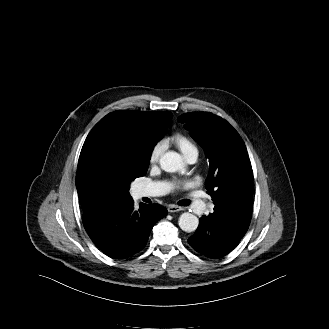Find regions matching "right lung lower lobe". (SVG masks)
<instances>
[{"label":"right lung lower lobe","mask_w":329,"mask_h":329,"mask_svg":"<svg viewBox=\"0 0 329 329\" xmlns=\"http://www.w3.org/2000/svg\"><path fill=\"white\" fill-rule=\"evenodd\" d=\"M167 215L159 204L135 211L132 197L103 201L84 210L82 221L93 243L111 258H125L146 245L154 224Z\"/></svg>","instance_id":"98d812e1"}]
</instances>
